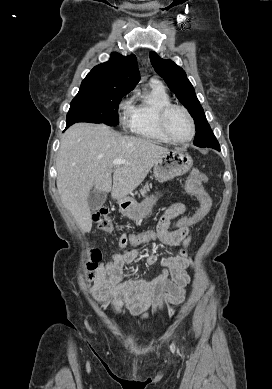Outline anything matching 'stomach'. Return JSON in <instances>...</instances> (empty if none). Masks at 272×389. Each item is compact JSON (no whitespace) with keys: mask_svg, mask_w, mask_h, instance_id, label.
I'll return each instance as SVG.
<instances>
[{"mask_svg":"<svg viewBox=\"0 0 272 389\" xmlns=\"http://www.w3.org/2000/svg\"><path fill=\"white\" fill-rule=\"evenodd\" d=\"M192 165L193 160L188 154L178 150H169L155 163L153 173L156 180L165 182L184 175L191 169ZM156 201L157 197L155 196L146 197L141 203L124 197L118 203L123 215L132 220H140L151 212Z\"/></svg>","mask_w":272,"mask_h":389,"instance_id":"0dacf381","label":"stomach"}]
</instances>
